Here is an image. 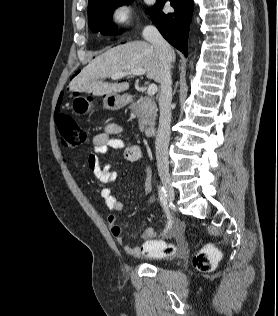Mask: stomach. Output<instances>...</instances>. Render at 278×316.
Segmentation results:
<instances>
[{
	"mask_svg": "<svg viewBox=\"0 0 278 316\" xmlns=\"http://www.w3.org/2000/svg\"><path fill=\"white\" fill-rule=\"evenodd\" d=\"M126 96L108 94L103 100L104 108L108 110H118L127 104ZM71 109L75 115H84L91 111L92 102L84 96H75L71 101Z\"/></svg>",
	"mask_w": 278,
	"mask_h": 316,
	"instance_id": "0dacf381",
	"label": "stomach"
}]
</instances>
